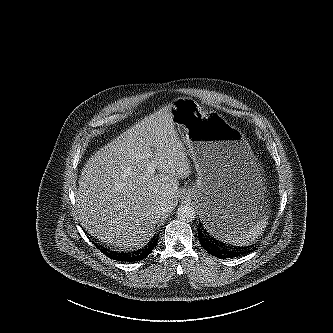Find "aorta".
<instances>
[{"instance_id": "1", "label": "aorta", "mask_w": 333, "mask_h": 333, "mask_svg": "<svg viewBox=\"0 0 333 333\" xmlns=\"http://www.w3.org/2000/svg\"><path fill=\"white\" fill-rule=\"evenodd\" d=\"M196 212L190 205H182L177 209V217L183 222H191L194 220Z\"/></svg>"}]
</instances>
